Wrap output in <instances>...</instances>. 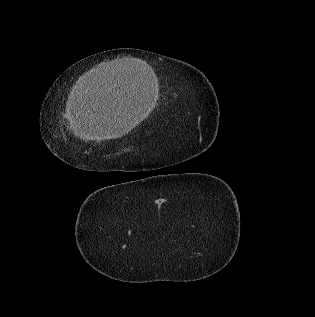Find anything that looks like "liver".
<instances>
[{
	"mask_svg": "<svg viewBox=\"0 0 315 317\" xmlns=\"http://www.w3.org/2000/svg\"><path fill=\"white\" fill-rule=\"evenodd\" d=\"M136 64L134 60L120 61L125 70ZM71 110L70 128L76 137L85 141L120 138L139 120L132 114L129 104L120 98L116 81L105 87L80 86Z\"/></svg>",
	"mask_w": 315,
	"mask_h": 317,
	"instance_id": "1",
	"label": "liver"
}]
</instances>
